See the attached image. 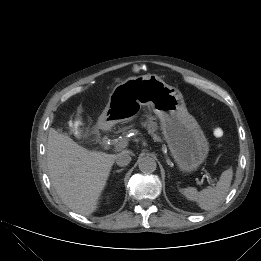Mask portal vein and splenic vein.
Wrapping results in <instances>:
<instances>
[{
	"label": "portal vein and splenic vein",
	"mask_w": 261,
	"mask_h": 261,
	"mask_svg": "<svg viewBox=\"0 0 261 261\" xmlns=\"http://www.w3.org/2000/svg\"><path fill=\"white\" fill-rule=\"evenodd\" d=\"M128 144L127 140L121 141L119 142L115 147H114V151H119L122 148L126 147ZM205 177L207 178L208 182L211 185H215V179L211 178L210 174L208 172H205Z\"/></svg>",
	"instance_id": "1"
}]
</instances>
